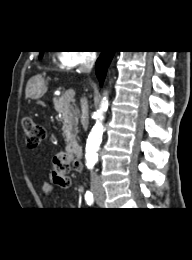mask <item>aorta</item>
I'll return each instance as SVG.
<instances>
[{"label": "aorta", "instance_id": "762f6f07", "mask_svg": "<svg viewBox=\"0 0 192 260\" xmlns=\"http://www.w3.org/2000/svg\"><path fill=\"white\" fill-rule=\"evenodd\" d=\"M108 109V100L104 96L100 108L96 112V122L92 127V130L88 136L85 152L86 166L91 169L98 161V150L102 141V135L104 131L103 120L104 113Z\"/></svg>", "mask_w": 192, "mask_h": 260}]
</instances>
